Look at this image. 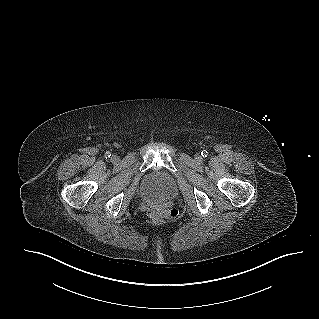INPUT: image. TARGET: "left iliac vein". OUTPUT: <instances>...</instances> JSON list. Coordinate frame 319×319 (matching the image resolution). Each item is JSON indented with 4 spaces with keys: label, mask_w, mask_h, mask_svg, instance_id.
I'll return each instance as SVG.
<instances>
[{
    "label": "left iliac vein",
    "mask_w": 319,
    "mask_h": 319,
    "mask_svg": "<svg viewBox=\"0 0 319 319\" xmlns=\"http://www.w3.org/2000/svg\"><path fill=\"white\" fill-rule=\"evenodd\" d=\"M195 160L198 161V162H200V161L202 160L201 155H200V154H197V155L195 156Z\"/></svg>",
    "instance_id": "left-iliac-vein-1"
}]
</instances>
